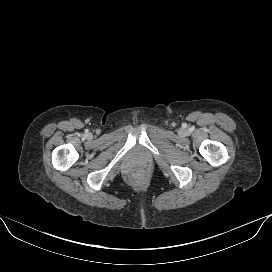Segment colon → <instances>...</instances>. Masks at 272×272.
<instances>
[{
    "label": "colon",
    "instance_id": "1",
    "mask_svg": "<svg viewBox=\"0 0 272 272\" xmlns=\"http://www.w3.org/2000/svg\"><path fill=\"white\" fill-rule=\"evenodd\" d=\"M131 178L135 183L141 182L145 178V173L143 171H137L132 175Z\"/></svg>",
    "mask_w": 272,
    "mask_h": 272
}]
</instances>
